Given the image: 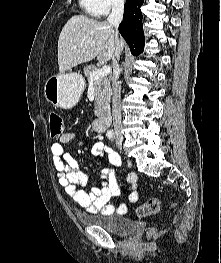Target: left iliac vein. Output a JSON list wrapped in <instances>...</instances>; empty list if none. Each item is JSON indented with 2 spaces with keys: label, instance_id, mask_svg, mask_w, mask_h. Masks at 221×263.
<instances>
[{
  "label": "left iliac vein",
  "instance_id": "4c4485c4",
  "mask_svg": "<svg viewBox=\"0 0 221 263\" xmlns=\"http://www.w3.org/2000/svg\"><path fill=\"white\" fill-rule=\"evenodd\" d=\"M116 146H117V148H118L119 150L122 149V141H121L120 138H118V139L116 140Z\"/></svg>",
  "mask_w": 221,
  "mask_h": 263
}]
</instances>
